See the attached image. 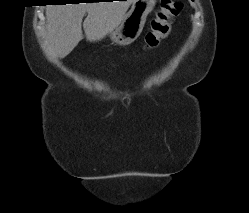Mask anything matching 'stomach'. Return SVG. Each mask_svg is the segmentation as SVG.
Instances as JSON below:
<instances>
[{"mask_svg": "<svg viewBox=\"0 0 249 213\" xmlns=\"http://www.w3.org/2000/svg\"><path fill=\"white\" fill-rule=\"evenodd\" d=\"M155 3L156 0H134L131 9L124 15L122 21L109 32L111 40L124 46L137 39Z\"/></svg>", "mask_w": 249, "mask_h": 213, "instance_id": "0dacf381", "label": "stomach"}]
</instances>
